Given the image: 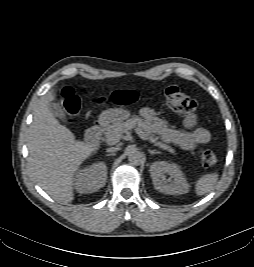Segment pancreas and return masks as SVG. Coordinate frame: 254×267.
<instances>
[{"instance_id":"cf45deb5","label":"pancreas","mask_w":254,"mask_h":267,"mask_svg":"<svg viewBox=\"0 0 254 267\" xmlns=\"http://www.w3.org/2000/svg\"><path fill=\"white\" fill-rule=\"evenodd\" d=\"M142 119L139 117H133L126 122H121V123H114L112 125H109L105 128L104 130V135L107 140H109L112 137L120 136L123 133H127L130 129L135 128L136 126H140L142 124ZM141 129V128H139ZM144 134L146 136V139L149 140L151 143H153L155 146H158L159 148H162L163 150L169 151L170 153H175V150L161 142L158 141V138L155 137L151 132L149 131H144Z\"/></svg>"}]
</instances>
